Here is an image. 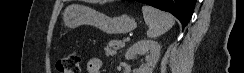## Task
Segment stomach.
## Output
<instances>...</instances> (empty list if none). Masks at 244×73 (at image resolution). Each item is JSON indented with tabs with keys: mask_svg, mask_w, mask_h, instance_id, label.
I'll return each instance as SVG.
<instances>
[{
	"mask_svg": "<svg viewBox=\"0 0 244 73\" xmlns=\"http://www.w3.org/2000/svg\"><path fill=\"white\" fill-rule=\"evenodd\" d=\"M63 23L69 28L84 24L92 25L110 35L126 34L137 27L136 21L128 15L108 16L80 4H72L65 8Z\"/></svg>",
	"mask_w": 244,
	"mask_h": 73,
	"instance_id": "0dacf381",
	"label": "stomach"
}]
</instances>
